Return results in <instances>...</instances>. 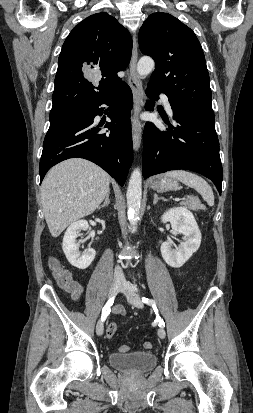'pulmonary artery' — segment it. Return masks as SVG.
<instances>
[{
	"mask_svg": "<svg viewBox=\"0 0 253 413\" xmlns=\"http://www.w3.org/2000/svg\"><path fill=\"white\" fill-rule=\"evenodd\" d=\"M161 100L166 108V110L171 114L172 113V108H171V104L169 101V98L167 95L165 94H160Z\"/></svg>",
	"mask_w": 253,
	"mask_h": 413,
	"instance_id": "pulmonary-artery-1",
	"label": "pulmonary artery"
}]
</instances>
